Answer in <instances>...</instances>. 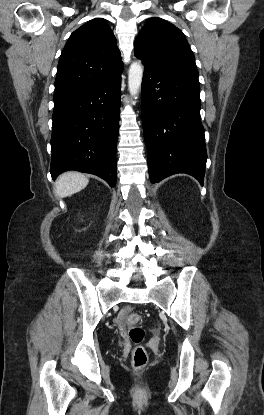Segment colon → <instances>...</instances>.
Instances as JSON below:
<instances>
[{
  "mask_svg": "<svg viewBox=\"0 0 264 415\" xmlns=\"http://www.w3.org/2000/svg\"><path fill=\"white\" fill-rule=\"evenodd\" d=\"M142 316L139 312H130L127 315V322L131 326L130 338L135 344V348L132 353V364L136 370H142L148 363V353L141 346L145 337L144 330L140 327Z\"/></svg>",
  "mask_w": 264,
  "mask_h": 415,
  "instance_id": "obj_1",
  "label": "colon"
}]
</instances>
